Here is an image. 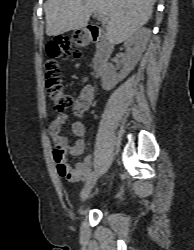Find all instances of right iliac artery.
Returning <instances> with one entry per match:
<instances>
[{"instance_id": "obj_1", "label": "right iliac artery", "mask_w": 194, "mask_h": 250, "mask_svg": "<svg viewBox=\"0 0 194 250\" xmlns=\"http://www.w3.org/2000/svg\"><path fill=\"white\" fill-rule=\"evenodd\" d=\"M91 175H92V169H89V171L87 172V174L84 177V182H86L90 178Z\"/></svg>"}]
</instances>
